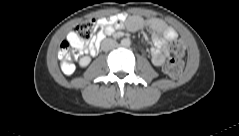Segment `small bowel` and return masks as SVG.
I'll use <instances>...</instances> for the list:
<instances>
[{"instance_id":"small-bowel-1","label":"small bowel","mask_w":239,"mask_h":136,"mask_svg":"<svg viewBox=\"0 0 239 136\" xmlns=\"http://www.w3.org/2000/svg\"><path fill=\"white\" fill-rule=\"evenodd\" d=\"M98 25L101 27V31L97 34V36L102 34H111L114 27L122 28L127 26L131 31H139L144 27H149L154 31L150 53L151 60L156 66H162L164 64L170 55L168 48L169 42L178 38L177 32L159 18H143L140 16L126 17L124 14H119L109 19H99ZM96 37L91 42H78L73 33L68 35V39H70L73 43L78 44L79 49L85 52H89L91 50Z\"/></svg>"}]
</instances>
